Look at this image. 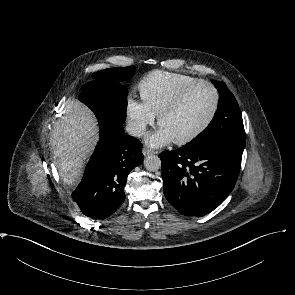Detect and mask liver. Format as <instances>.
<instances>
[{
    "instance_id": "6515ba94",
    "label": "liver",
    "mask_w": 295,
    "mask_h": 295,
    "mask_svg": "<svg viewBox=\"0 0 295 295\" xmlns=\"http://www.w3.org/2000/svg\"><path fill=\"white\" fill-rule=\"evenodd\" d=\"M52 148L57 167L67 184L76 182L98 139V125L92 112L73 99L65 103L63 116L54 125Z\"/></svg>"
}]
</instances>
